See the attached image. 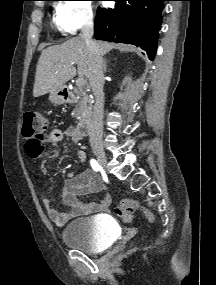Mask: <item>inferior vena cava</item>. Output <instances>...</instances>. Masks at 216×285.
<instances>
[{
    "mask_svg": "<svg viewBox=\"0 0 216 285\" xmlns=\"http://www.w3.org/2000/svg\"><path fill=\"white\" fill-rule=\"evenodd\" d=\"M94 33L93 18L90 17L81 30L80 37L86 42L89 51L88 79L92 88L95 104L90 123V144L94 146L102 141V119L104 107L103 59L96 43L92 40Z\"/></svg>",
    "mask_w": 216,
    "mask_h": 285,
    "instance_id": "1",
    "label": "inferior vena cava"
}]
</instances>
